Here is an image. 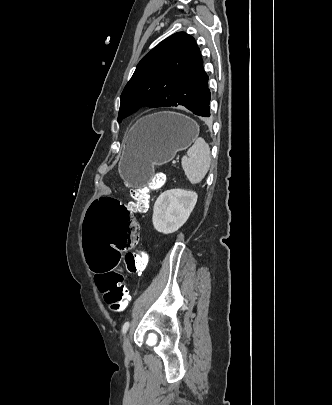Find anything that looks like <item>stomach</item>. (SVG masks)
Segmentation results:
<instances>
[{"label":"stomach","instance_id":"1","mask_svg":"<svg viewBox=\"0 0 332 405\" xmlns=\"http://www.w3.org/2000/svg\"><path fill=\"white\" fill-rule=\"evenodd\" d=\"M198 135V124L180 113L159 112L139 119L129 131L118 164L121 178L131 188L146 186L154 166L173 160Z\"/></svg>","mask_w":332,"mask_h":405}]
</instances>
